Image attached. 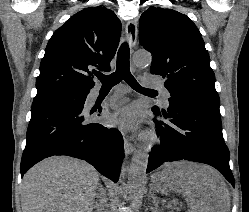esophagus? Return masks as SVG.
Listing matches in <instances>:
<instances>
[{
  "mask_svg": "<svg viewBox=\"0 0 249 212\" xmlns=\"http://www.w3.org/2000/svg\"><path fill=\"white\" fill-rule=\"evenodd\" d=\"M125 35L129 46L133 49L137 43L138 27L136 20H129L125 26ZM124 149L127 155L135 151V146L126 137L124 138Z\"/></svg>",
  "mask_w": 249,
  "mask_h": 212,
  "instance_id": "34e87169",
  "label": "esophagus"
}]
</instances>
